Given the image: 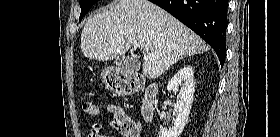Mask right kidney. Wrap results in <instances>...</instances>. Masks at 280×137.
Returning a JSON list of instances; mask_svg holds the SVG:
<instances>
[{
	"label": "right kidney",
	"instance_id": "right-kidney-1",
	"mask_svg": "<svg viewBox=\"0 0 280 137\" xmlns=\"http://www.w3.org/2000/svg\"><path fill=\"white\" fill-rule=\"evenodd\" d=\"M179 86L181 91L179 100L174 105V126L170 130L160 126V137H179L188 121L195 92L194 71L191 66L181 68L168 82L167 90L176 91Z\"/></svg>",
	"mask_w": 280,
	"mask_h": 137
}]
</instances>
